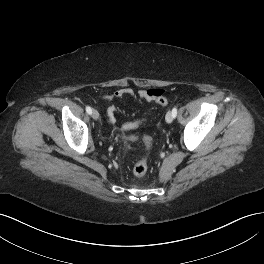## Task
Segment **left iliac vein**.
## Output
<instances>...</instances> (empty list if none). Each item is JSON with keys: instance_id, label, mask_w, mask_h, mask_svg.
<instances>
[{"instance_id": "left-iliac-vein-1", "label": "left iliac vein", "mask_w": 264, "mask_h": 264, "mask_svg": "<svg viewBox=\"0 0 264 264\" xmlns=\"http://www.w3.org/2000/svg\"><path fill=\"white\" fill-rule=\"evenodd\" d=\"M173 115H172V112H167V114H166V117H165V119H166V122L167 123H171L172 121H173Z\"/></svg>"}]
</instances>
